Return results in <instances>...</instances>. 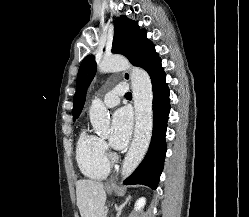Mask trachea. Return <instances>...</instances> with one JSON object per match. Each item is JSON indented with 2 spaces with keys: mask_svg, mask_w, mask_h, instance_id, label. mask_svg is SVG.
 I'll use <instances>...</instances> for the list:
<instances>
[{
  "mask_svg": "<svg viewBox=\"0 0 249 217\" xmlns=\"http://www.w3.org/2000/svg\"><path fill=\"white\" fill-rule=\"evenodd\" d=\"M125 96L126 97H132V94L130 92H127Z\"/></svg>",
  "mask_w": 249,
  "mask_h": 217,
  "instance_id": "trachea-1",
  "label": "trachea"
}]
</instances>
